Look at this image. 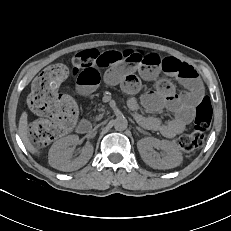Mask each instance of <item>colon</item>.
Here are the masks:
<instances>
[{"label":"colon","mask_w":231,"mask_h":231,"mask_svg":"<svg viewBox=\"0 0 231 231\" xmlns=\"http://www.w3.org/2000/svg\"><path fill=\"white\" fill-rule=\"evenodd\" d=\"M152 54L140 50L107 52L87 51L76 55L72 60L74 73L83 68L98 64L107 67L118 61L144 62ZM68 69L62 64L45 68L33 81L28 97V106L40 118L30 126V138L35 146L43 147L66 134L77 117V106L74 100L58 91L62 81L67 77ZM212 107L204 99L196 110L194 129L176 140V145L184 151H192L203 145L205 134L211 125Z\"/></svg>","instance_id":"colon-1"}]
</instances>
